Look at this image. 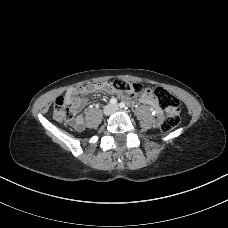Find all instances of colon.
Segmentation results:
<instances>
[{
  "mask_svg": "<svg viewBox=\"0 0 228 228\" xmlns=\"http://www.w3.org/2000/svg\"><path fill=\"white\" fill-rule=\"evenodd\" d=\"M105 84L110 85L115 92L125 96L137 97L151 92L150 88L139 82L116 80L114 82H105ZM94 86L96 87L97 84H94ZM152 92L160 105L166 110V116L162 122L161 129L164 132H170L180 122L181 109L178 99L163 87H155ZM53 116L60 123H69L75 120V111L65 101L64 97H58L54 103Z\"/></svg>",
  "mask_w": 228,
  "mask_h": 228,
  "instance_id": "1",
  "label": "colon"
}]
</instances>
